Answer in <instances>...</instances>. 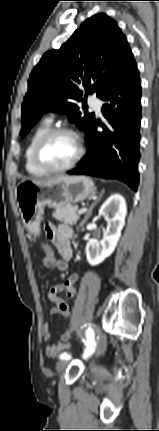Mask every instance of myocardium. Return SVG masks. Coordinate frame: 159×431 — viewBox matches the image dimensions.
<instances>
[{
	"label": "myocardium",
	"instance_id": "1",
	"mask_svg": "<svg viewBox=\"0 0 159 431\" xmlns=\"http://www.w3.org/2000/svg\"><path fill=\"white\" fill-rule=\"evenodd\" d=\"M59 134L71 135L77 144V153L70 163L62 167H53L49 165L42 156L43 149L45 145L49 142L51 138ZM84 154V146L80 136L71 128L68 127H54L48 129L36 142L33 151V158L38 167L47 173H63L72 168H74L78 162L81 160Z\"/></svg>",
	"mask_w": 159,
	"mask_h": 431
}]
</instances>
